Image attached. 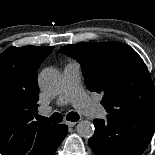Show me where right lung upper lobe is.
<instances>
[{
    "label": "right lung upper lobe",
    "instance_id": "right-lung-upper-lobe-1",
    "mask_svg": "<svg viewBox=\"0 0 155 155\" xmlns=\"http://www.w3.org/2000/svg\"><path fill=\"white\" fill-rule=\"evenodd\" d=\"M54 47H10L0 54V152L48 155L60 137L59 125L34 121L37 70Z\"/></svg>",
    "mask_w": 155,
    "mask_h": 155
}]
</instances>
